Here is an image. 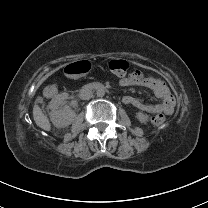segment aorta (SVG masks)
Instances as JSON below:
<instances>
[{
    "label": "aorta",
    "instance_id": "1",
    "mask_svg": "<svg viewBox=\"0 0 208 208\" xmlns=\"http://www.w3.org/2000/svg\"><path fill=\"white\" fill-rule=\"evenodd\" d=\"M96 94L98 97H103L105 95V91L103 89H99L97 90Z\"/></svg>",
    "mask_w": 208,
    "mask_h": 208
}]
</instances>
